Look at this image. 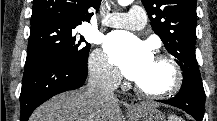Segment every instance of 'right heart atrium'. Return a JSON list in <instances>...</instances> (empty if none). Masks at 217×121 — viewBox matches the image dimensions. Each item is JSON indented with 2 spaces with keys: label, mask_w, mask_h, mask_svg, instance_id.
<instances>
[{
  "label": "right heart atrium",
  "mask_w": 217,
  "mask_h": 121,
  "mask_svg": "<svg viewBox=\"0 0 217 121\" xmlns=\"http://www.w3.org/2000/svg\"><path fill=\"white\" fill-rule=\"evenodd\" d=\"M88 70L92 78L103 85L114 87L120 82L118 71L110 64L107 56L100 49H96L90 54Z\"/></svg>",
  "instance_id": "right-heart-atrium-1"
}]
</instances>
